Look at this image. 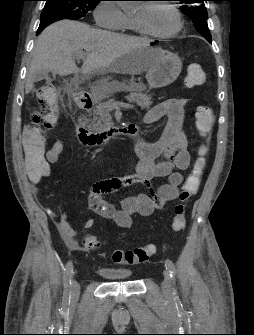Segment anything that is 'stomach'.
I'll list each match as a JSON object with an SVG mask.
<instances>
[{"label":"stomach","instance_id":"stomach-1","mask_svg":"<svg viewBox=\"0 0 254 335\" xmlns=\"http://www.w3.org/2000/svg\"><path fill=\"white\" fill-rule=\"evenodd\" d=\"M153 65L147 70L146 79L151 89L172 84L180 75L182 61L177 54L161 48H149Z\"/></svg>","mask_w":254,"mask_h":335}]
</instances>
